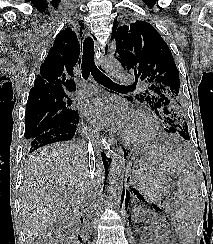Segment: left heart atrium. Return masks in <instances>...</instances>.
Masks as SVG:
<instances>
[{
    "instance_id": "1",
    "label": "left heart atrium",
    "mask_w": 213,
    "mask_h": 244,
    "mask_svg": "<svg viewBox=\"0 0 213 244\" xmlns=\"http://www.w3.org/2000/svg\"><path fill=\"white\" fill-rule=\"evenodd\" d=\"M84 115L96 128L116 127L126 131L134 116L126 105L110 97H96L84 104Z\"/></svg>"
}]
</instances>
